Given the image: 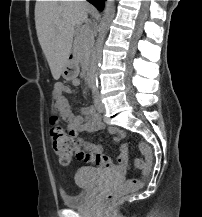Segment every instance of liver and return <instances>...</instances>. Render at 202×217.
Returning a JSON list of instances; mask_svg holds the SVG:
<instances>
[{
    "label": "liver",
    "mask_w": 202,
    "mask_h": 217,
    "mask_svg": "<svg viewBox=\"0 0 202 217\" xmlns=\"http://www.w3.org/2000/svg\"><path fill=\"white\" fill-rule=\"evenodd\" d=\"M91 10V5L83 0L36 2L37 36L54 79H59L68 61L75 26L86 23Z\"/></svg>",
    "instance_id": "obj_1"
}]
</instances>
